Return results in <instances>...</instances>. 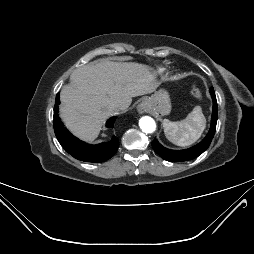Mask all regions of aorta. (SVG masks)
Here are the masks:
<instances>
[{
	"instance_id": "762f6f07",
	"label": "aorta",
	"mask_w": 254,
	"mask_h": 254,
	"mask_svg": "<svg viewBox=\"0 0 254 254\" xmlns=\"http://www.w3.org/2000/svg\"><path fill=\"white\" fill-rule=\"evenodd\" d=\"M139 126L141 130L145 133H152L156 129L155 121L149 116L142 117L139 121Z\"/></svg>"
}]
</instances>
